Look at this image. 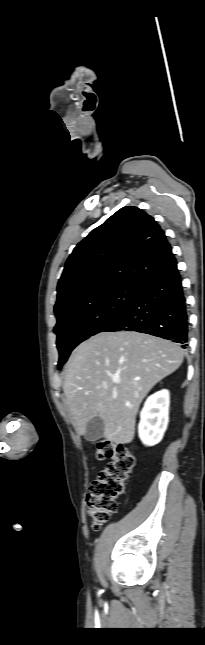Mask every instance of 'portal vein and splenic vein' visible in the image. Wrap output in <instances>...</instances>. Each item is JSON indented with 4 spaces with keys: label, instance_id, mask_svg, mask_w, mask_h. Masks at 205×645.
I'll return each mask as SVG.
<instances>
[{
    "label": "portal vein and splenic vein",
    "instance_id": "portal-vein-and-splenic-vein-1",
    "mask_svg": "<svg viewBox=\"0 0 205 645\" xmlns=\"http://www.w3.org/2000/svg\"><path fill=\"white\" fill-rule=\"evenodd\" d=\"M120 381L118 379L115 380V383H119Z\"/></svg>",
    "mask_w": 205,
    "mask_h": 645
}]
</instances>
